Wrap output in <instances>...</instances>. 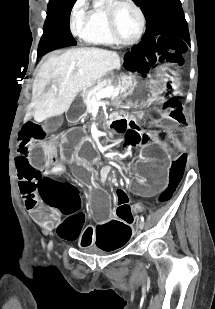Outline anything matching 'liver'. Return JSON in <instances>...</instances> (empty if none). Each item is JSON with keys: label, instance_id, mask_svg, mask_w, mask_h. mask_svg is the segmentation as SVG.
Masks as SVG:
<instances>
[{"label": "liver", "instance_id": "liver-1", "mask_svg": "<svg viewBox=\"0 0 215 309\" xmlns=\"http://www.w3.org/2000/svg\"><path fill=\"white\" fill-rule=\"evenodd\" d=\"M121 58L115 50L105 48H70L63 54H52L42 62L33 82L30 108H35L34 114L41 118L57 116L66 112L75 96L88 86L102 80L109 70L119 68ZM56 82L48 88L46 84ZM30 116L27 112L25 120Z\"/></svg>", "mask_w": 215, "mask_h": 309}]
</instances>
